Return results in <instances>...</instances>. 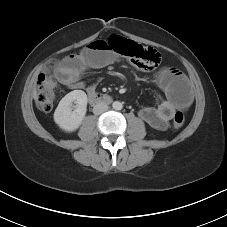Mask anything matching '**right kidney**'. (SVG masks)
Instances as JSON below:
<instances>
[{
    "mask_svg": "<svg viewBox=\"0 0 227 227\" xmlns=\"http://www.w3.org/2000/svg\"><path fill=\"white\" fill-rule=\"evenodd\" d=\"M87 95L74 90L65 95L54 112L55 123L66 132H73L81 125L87 111ZM73 103L76 105L73 106Z\"/></svg>",
    "mask_w": 227,
    "mask_h": 227,
    "instance_id": "ca27d5eb",
    "label": "right kidney"
}]
</instances>
